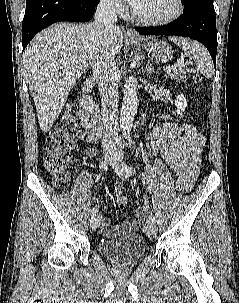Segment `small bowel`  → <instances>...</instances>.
<instances>
[{"instance_id": "obj_1", "label": "small bowel", "mask_w": 239, "mask_h": 303, "mask_svg": "<svg viewBox=\"0 0 239 303\" xmlns=\"http://www.w3.org/2000/svg\"><path fill=\"white\" fill-rule=\"evenodd\" d=\"M151 138L161 151V156L172 169L176 188L180 191L187 190L196 181L201 164L202 153L206 142L204 136L192 125L163 122L151 130ZM88 143H95L96 139L87 136ZM93 148L84 151V158L94 155ZM120 190V186H116ZM98 208V207H97ZM138 221L142 219V213L137 212ZM100 233L106 238L116 234H128L137 226V221L123 222L114 228H110L111 219L108 216L101 217Z\"/></svg>"}]
</instances>
